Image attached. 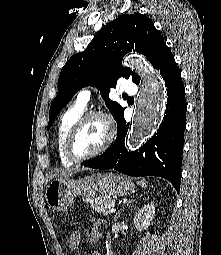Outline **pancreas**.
Returning a JSON list of instances; mask_svg holds the SVG:
<instances>
[{
  "label": "pancreas",
  "mask_w": 221,
  "mask_h": 255,
  "mask_svg": "<svg viewBox=\"0 0 221 255\" xmlns=\"http://www.w3.org/2000/svg\"><path fill=\"white\" fill-rule=\"evenodd\" d=\"M89 204L97 210L100 214L109 215L112 212L110 211L111 208L115 206V200L110 196H98L92 199Z\"/></svg>",
  "instance_id": "pancreas-1"
}]
</instances>
